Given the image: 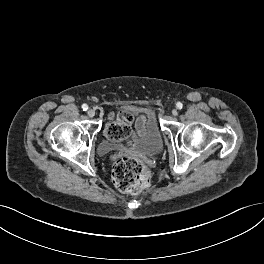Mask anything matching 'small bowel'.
<instances>
[{
    "label": "small bowel",
    "instance_id": "1",
    "mask_svg": "<svg viewBox=\"0 0 264 264\" xmlns=\"http://www.w3.org/2000/svg\"><path fill=\"white\" fill-rule=\"evenodd\" d=\"M145 126V117L142 115L135 121V128L138 132H142Z\"/></svg>",
    "mask_w": 264,
    "mask_h": 264
}]
</instances>
